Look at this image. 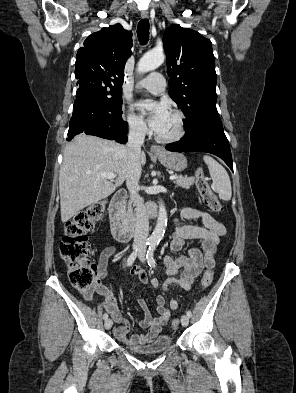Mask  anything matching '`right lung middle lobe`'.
<instances>
[{
    "mask_svg": "<svg viewBox=\"0 0 296 393\" xmlns=\"http://www.w3.org/2000/svg\"><path fill=\"white\" fill-rule=\"evenodd\" d=\"M79 90L95 98L115 115H122L121 89L105 83L102 80L86 77L78 80Z\"/></svg>",
    "mask_w": 296,
    "mask_h": 393,
    "instance_id": "1",
    "label": "right lung middle lobe"
}]
</instances>
